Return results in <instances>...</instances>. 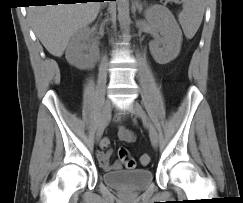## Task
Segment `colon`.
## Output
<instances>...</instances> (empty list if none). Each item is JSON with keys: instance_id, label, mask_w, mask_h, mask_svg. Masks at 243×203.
<instances>
[{"instance_id": "obj_1", "label": "colon", "mask_w": 243, "mask_h": 203, "mask_svg": "<svg viewBox=\"0 0 243 203\" xmlns=\"http://www.w3.org/2000/svg\"><path fill=\"white\" fill-rule=\"evenodd\" d=\"M119 157L125 161V166L127 169H134L136 166V162L133 159L128 158V153L125 148H120L118 150ZM151 161V157L149 154H144L140 158V163L142 165H148Z\"/></svg>"}]
</instances>
